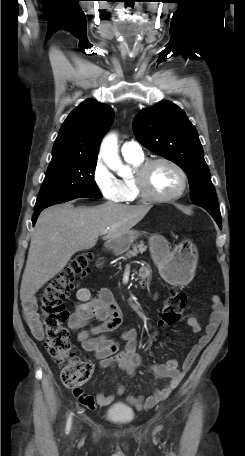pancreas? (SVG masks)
Instances as JSON below:
<instances>
[{"instance_id":"1","label":"pancreas","mask_w":245,"mask_h":456,"mask_svg":"<svg viewBox=\"0 0 245 456\" xmlns=\"http://www.w3.org/2000/svg\"><path fill=\"white\" fill-rule=\"evenodd\" d=\"M132 248H133L132 250L126 249V250H128V251H127V253L125 254V257L130 258V257L136 256L138 253H141V254H142V253L145 252L146 249H147V247L144 245V242H143V241H140L139 244H138V243L134 244ZM126 250H124V251H126ZM124 251H123V252H124ZM120 253H122V252H120Z\"/></svg>"}]
</instances>
